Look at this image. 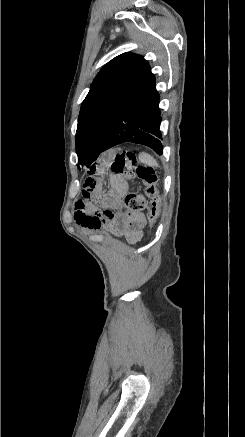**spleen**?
I'll use <instances>...</instances> for the list:
<instances>
[{
    "label": "spleen",
    "instance_id": "obj_1",
    "mask_svg": "<svg viewBox=\"0 0 245 437\" xmlns=\"http://www.w3.org/2000/svg\"><path fill=\"white\" fill-rule=\"evenodd\" d=\"M139 158L142 162L146 163L149 166H157V161L149 154L142 152L139 155Z\"/></svg>",
    "mask_w": 245,
    "mask_h": 437
}]
</instances>
